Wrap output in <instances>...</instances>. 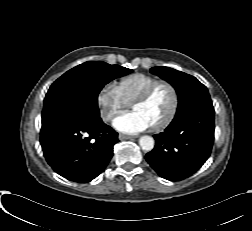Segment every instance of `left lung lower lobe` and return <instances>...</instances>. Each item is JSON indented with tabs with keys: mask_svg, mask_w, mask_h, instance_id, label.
<instances>
[{
	"mask_svg": "<svg viewBox=\"0 0 252 231\" xmlns=\"http://www.w3.org/2000/svg\"><path fill=\"white\" fill-rule=\"evenodd\" d=\"M214 114L212 103L193 104L177 112L164 132L154 135L156 145L146 154L150 166L171 181L195 173L211 153Z\"/></svg>",
	"mask_w": 252,
	"mask_h": 231,
	"instance_id": "0a47b994",
	"label": "left lung lower lobe"
}]
</instances>
